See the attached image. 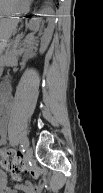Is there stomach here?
<instances>
[{
	"instance_id": "obj_1",
	"label": "stomach",
	"mask_w": 103,
	"mask_h": 193,
	"mask_svg": "<svg viewBox=\"0 0 103 193\" xmlns=\"http://www.w3.org/2000/svg\"><path fill=\"white\" fill-rule=\"evenodd\" d=\"M32 0H4L3 5H1V15L3 17L7 16H13L21 13H26L30 9ZM12 28L8 26L7 24H4L2 27L3 31V38L6 39V37L11 33ZM6 42L5 40L2 41L1 47L2 49L5 47Z\"/></svg>"
}]
</instances>
